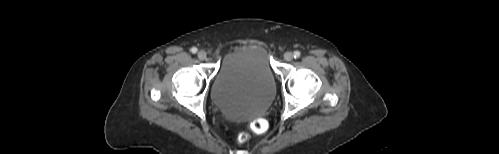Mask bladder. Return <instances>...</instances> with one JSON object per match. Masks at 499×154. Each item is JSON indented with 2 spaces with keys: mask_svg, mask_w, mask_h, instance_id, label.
<instances>
[{
  "mask_svg": "<svg viewBox=\"0 0 499 154\" xmlns=\"http://www.w3.org/2000/svg\"><path fill=\"white\" fill-rule=\"evenodd\" d=\"M277 88L267 48L243 44L227 53L212 84L214 104L231 117L244 118L263 113Z\"/></svg>",
  "mask_w": 499,
  "mask_h": 154,
  "instance_id": "bladder-1",
  "label": "bladder"
}]
</instances>
